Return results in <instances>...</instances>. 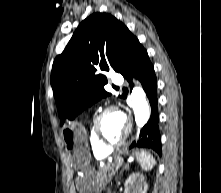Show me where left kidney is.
<instances>
[{"instance_id":"left-kidney-1","label":"left kidney","mask_w":221,"mask_h":193,"mask_svg":"<svg viewBox=\"0 0 221 193\" xmlns=\"http://www.w3.org/2000/svg\"><path fill=\"white\" fill-rule=\"evenodd\" d=\"M124 193H146L148 185L144 180V176L140 173H132L125 181Z\"/></svg>"}]
</instances>
